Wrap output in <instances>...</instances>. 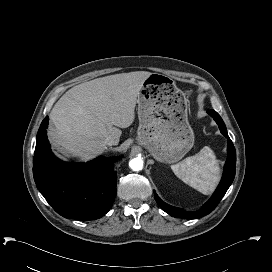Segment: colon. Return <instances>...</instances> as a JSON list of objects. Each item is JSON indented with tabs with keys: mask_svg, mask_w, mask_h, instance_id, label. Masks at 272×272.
<instances>
[{
	"mask_svg": "<svg viewBox=\"0 0 272 272\" xmlns=\"http://www.w3.org/2000/svg\"><path fill=\"white\" fill-rule=\"evenodd\" d=\"M184 95H185L186 98H188L189 95H190V92H189V91H186Z\"/></svg>",
	"mask_w": 272,
	"mask_h": 272,
	"instance_id": "5ec220e1",
	"label": "colon"
}]
</instances>
